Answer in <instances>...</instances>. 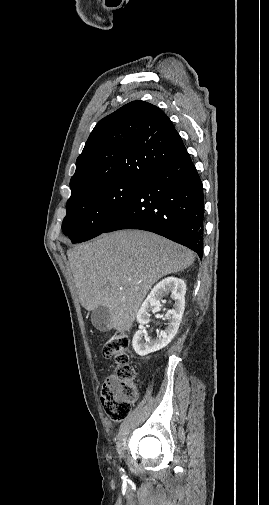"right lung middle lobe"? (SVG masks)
Masks as SVG:
<instances>
[{"label":"right lung middle lobe","mask_w":269,"mask_h":505,"mask_svg":"<svg viewBox=\"0 0 269 505\" xmlns=\"http://www.w3.org/2000/svg\"><path fill=\"white\" fill-rule=\"evenodd\" d=\"M141 182L114 181L90 187L67 201L63 233L73 243L90 240L114 221Z\"/></svg>","instance_id":"right-lung-middle-lobe-1"}]
</instances>
